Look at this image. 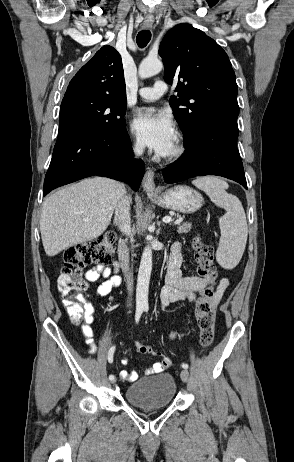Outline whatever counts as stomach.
<instances>
[{"label":"stomach","mask_w":294,"mask_h":462,"mask_svg":"<svg viewBox=\"0 0 294 462\" xmlns=\"http://www.w3.org/2000/svg\"><path fill=\"white\" fill-rule=\"evenodd\" d=\"M148 196L163 208L185 214L196 212L204 202L199 192L182 185L175 186L159 196L148 192Z\"/></svg>","instance_id":"0dacf381"}]
</instances>
